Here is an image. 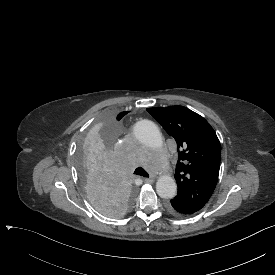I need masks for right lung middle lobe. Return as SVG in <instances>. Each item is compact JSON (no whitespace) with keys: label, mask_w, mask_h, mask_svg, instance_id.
<instances>
[{"label":"right lung middle lobe","mask_w":275,"mask_h":275,"mask_svg":"<svg viewBox=\"0 0 275 275\" xmlns=\"http://www.w3.org/2000/svg\"><path fill=\"white\" fill-rule=\"evenodd\" d=\"M121 126L119 114H103L83 133L75 155L80 187L87 192L92 205L110 217L125 215L132 206L135 194L114 146Z\"/></svg>","instance_id":"dd1d6c3e"}]
</instances>
